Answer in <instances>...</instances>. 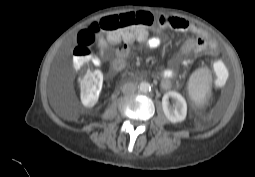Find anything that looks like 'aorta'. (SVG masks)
Masks as SVG:
<instances>
[{
    "mask_svg": "<svg viewBox=\"0 0 255 177\" xmlns=\"http://www.w3.org/2000/svg\"><path fill=\"white\" fill-rule=\"evenodd\" d=\"M139 90L143 93H147L151 90V86L148 82H141L139 85Z\"/></svg>",
    "mask_w": 255,
    "mask_h": 177,
    "instance_id": "762f6f07",
    "label": "aorta"
}]
</instances>
